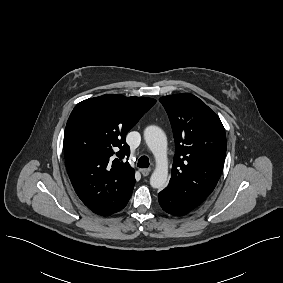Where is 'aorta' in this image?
Listing matches in <instances>:
<instances>
[{
	"instance_id": "762f6f07",
	"label": "aorta",
	"mask_w": 283,
	"mask_h": 283,
	"mask_svg": "<svg viewBox=\"0 0 283 283\" xmlns=\"http://www.w3.org/2000/svg\"><path fill=\"white\" fill-rule=\"evenodd\" d=\"M144 139L156 160V168L151 175L150 185L153 188H163L167 183V138L164 131L157 126H148L144 130Z\"/></svg>"
}]
</instances>
